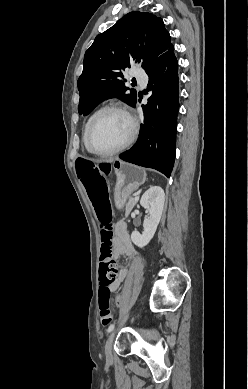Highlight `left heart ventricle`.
<instances>
[{
	"label": "left heart ventricle",
	"instance_id": "left-heart-ventricle-1",
	"mask_svg": "<svg viewBox=\"0 0 248 389\" xmlns=\"http://www.w3.org/2000/svg\"><path fill=\"white\" fill-rule=\"evenodd\" d=\"M130 132L131 125L128 119L118 112H110L94 124L89 143L94 150L109 151L121 145Z\"/></svg>",
	"mask_w": 248,
	"mask_h": 389
}]
</instances>
